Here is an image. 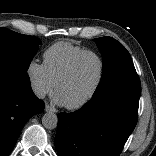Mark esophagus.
<instances>
[{
	"label": "esophagus",
	"mask_w": 156,
	"mask_h": 156,
	"mask_svg": "<svg viewBox=\"0 0 156 156\" xmlns=\"http://www.w3.org/2000/svg\"><path fill=\"white\" fill-rule=\"evenodd\" d=\"M45 111L46 112H57V110L55 108L51 107L48 104L45 106Z\"/></svg>",
	"instance_id": "esophagus-1"
}]
</instances>
